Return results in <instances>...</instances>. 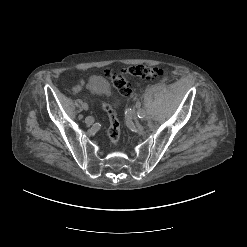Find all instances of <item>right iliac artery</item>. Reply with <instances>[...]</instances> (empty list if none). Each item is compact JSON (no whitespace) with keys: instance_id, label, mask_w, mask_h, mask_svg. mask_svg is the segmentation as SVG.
I'll list each match as a JSON object with an SVG mask.
<instances>
[{"instance_id":"right-iliac-artery-1","label":"right iliac artery","mask_w":247,"mask_h":247,"mask_svg":"<svg viewBox=\"0 0 247 247\" xmlns=\"http://www.w3.org/2000/svg\"><path fill=\"white\" fill-rule=\"evenodd\" d=\"M82 107H83V109L86 110V109H88L89 106H88V104L86 102H83L82 103Z\"/></svg>"}]
</instances>
